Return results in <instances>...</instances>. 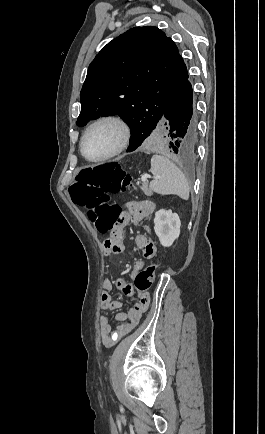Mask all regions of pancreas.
I'll list each match as a JSON object with an SVG mask.
<instances>
[{
    "label": "pancreas",
    "instance_id": "pancreas-1",
    "mask_svg": "<svg viewBox=\"0 0 265 434\" xmlns=\"http://www.w3.org/2000/svg\"><path fill=\"white\" fill-rule=\"evenodd\" d=\"M141 190H143L144 194H146V196H152V190H150L147 182H143L142 186H141Z\"/></svg>",
    "mask_w": 265,
    "mask_h": 434
}]
</instances>
